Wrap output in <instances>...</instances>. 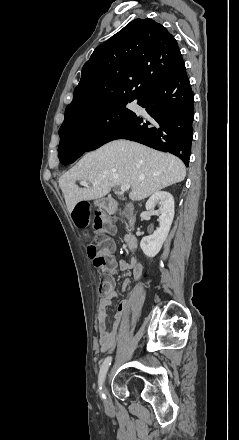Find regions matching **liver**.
Listing matches in <instances>:
<instances>
[{"mask_svg":"<svg viewBox=\"0 0 239 440\" xmlns=\"http://www.w3.org/2000/svg\"><path fill=\"white\" fill-rule=\"evenodd\" d=\"M144 176V180H140ZM186 168L172 154H163L128 140H115L95 152L85 154L76 166L59 178L69 214L82 200H98L111 188L130 184V200H144L167 186L182 182ZM76 180L91 188H78Z\"/></svg>","mask_w":239,"mask_h":440,"instance_id":"obj_1","label":"liver"}]
</instances>
